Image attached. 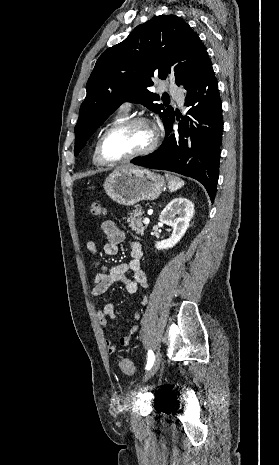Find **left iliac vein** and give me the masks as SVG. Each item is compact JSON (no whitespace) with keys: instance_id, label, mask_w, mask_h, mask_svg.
<instances>
[{"instance_id":"obj_1","label":"left iliac vein","mask_w":279,"mask_h":465,"mask_svg":"<svg viewBox=\"0 0 279 465\" xmlns=\"http://www.w3.org/2000/svg\"><path fill=\"white\" fill-rule=\"evenodd\" d=\"M161 360H162V355L161 353L158 351L155 355V359H154V362H153V365L150 369V371L148 372V374L145 376L144 378V382H146L147 380H149L152 376H154V374L158 371L159 367H160V364H161Z\"/></svg>"}]
</instances>
